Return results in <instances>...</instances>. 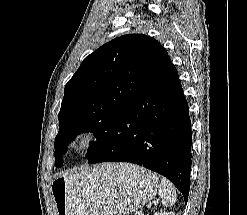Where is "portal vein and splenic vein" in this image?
I'll use <instances>...</instances> for the list:
<instances>
[{"mask_svg":"<svg viewBox=\"0 0 247 215\" xmlns=\"http://www.w3.org/2000/svg\"><path fill=\"white\" fill-rule=\"evenodd\" d=\"M148 207H151V203L148 204Z\"/></svg>","mask_w":247,"mask_h":215,"instance_id":"portal-vein-and-splenic-vein-1","label":"portal vein and splenic vein"}]
</instances>
